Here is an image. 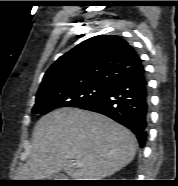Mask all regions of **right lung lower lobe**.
Listing matches in <instances>:
<instances>
[{
    "label": "right lung lower lobe",
    "mask_w": 178,
    "mask_h": 186,
    "mask_svg": "<svg viewBox=\"0 0 178 186\" xmlns=\"http://www.w3.org/2000/svg\"><path fill=\"white\" fill-rule=\"evenodd\" d=\"M149 91L144 67L109 84L95 99L78 108L101 113L129 128L144 146L149 120Z\"/></svg>",
    "instance_id": "1"
}]
</instances>
